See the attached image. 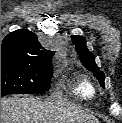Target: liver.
<instances>
[{"instance_id":"obj_1","label":"liver","mask_w":122,"mask_h":123,"mask_svg":"<svg viewBox=\"0 0 122 123\" xmlns=\"http://www.w3.org/2000/svg\"><path fill=\"white\" fill-rule=\"evenodd\" d=\"M1 123H99L92 114L64 103L32 96L1 100Z\"/></svg>"}]
</instances>
